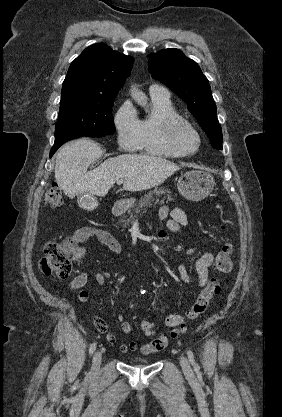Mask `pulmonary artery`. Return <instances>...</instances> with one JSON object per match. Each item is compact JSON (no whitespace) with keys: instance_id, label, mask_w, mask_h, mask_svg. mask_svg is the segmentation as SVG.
Returning <instances> with one entry per match:
<instances>
[{"instance_id":"pulmonary-artery-1","label":"pulmonary artery","mask_w":282,"mask_h":417,"mask_svg":"<svg viewBox=\"0 0 282 417\" xmlns=\"http://www.w3.org/2000/svg\"><path fill=\"white\" fill-rule=\"evenodd\" d=\"M151 97H161L168 99L170 97V92L165 87H162L157 84H153L149 88Z\"/></svg>"}]
</instances>
